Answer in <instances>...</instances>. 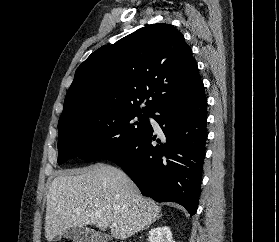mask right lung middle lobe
<instances>
[{
  "label": "right lung middle lobe",
  "mask_w": 279,
  "mask_h": 242,
  "mask_svg": "<svg viewBox=\"0 0 279 242\" xmlns=\"http://www.w3.org/2000/svg\"><path fill=\"white\" fill-rule=\"evenodd\" d=\"M127 110L110 116L73 119L58 125V163L79 157L87 162L119 153L142 137L150 127L151 113Z\"/></svg>",
  "instance_id": "right-lung-middle-lobe-1"
}]
</instances>
